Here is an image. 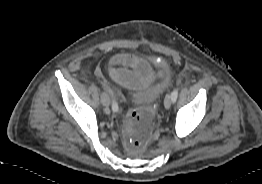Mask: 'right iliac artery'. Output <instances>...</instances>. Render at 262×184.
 <instances>
[{
  "instance_id": "obj_1",
  "label": "right iliac artery",
  "mask_w": 262,
  "mask_h": 184,
  "mask_svg": "<svg viewBox=\"0 0 262 184\" xmlns=\"http://www.w3.org/2000/svg\"><path fill=\"white\" fill-rule=\"evenodd\" d=\"M105 86H106V88L108 89V91L111 93V94H113V92H112V90L110 89V87L108 86V85H106L105 84ZM112 110L114 111V112H117L118 111V104L113 100V103H112Z\"/></svg>"
}]
</instances>
